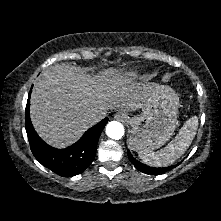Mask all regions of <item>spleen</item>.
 <instances>
[{"label":"spleen","instance_id":"obj_1","mask_svg":"<svg viewBox=\"0 0 221 221\" xmlns=\"http://www.w3.org/2000/svg\"><path fill=\"white\" fill-rule=\"evenodd\" d=\"M198 127V118H189L181 127L175 139L163 149L153 152L143 150L138 152L139 158L147 165L153 167H164L173 164L179 159L192 143Z\"/></svg>","mask_w":221,"mask_h":221}]
</instances>
